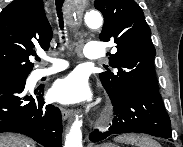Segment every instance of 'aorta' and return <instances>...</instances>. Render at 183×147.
<instances>
[{"label": "aorta", "instance_id": "obj_1", "mask_svg": "<svg viewBox=\"0 0 183 147\" xmlns=\"http://www.w3.org/2000/svg\"><path fill=\"white\" fill-rule=\"evenodd\" d=\"M84 23L91 29H97L102 26L103 18L99 12H87L84 15ZM82 120L76 115L75 121L73 122L69 133L65 138L64 147H82Z\"/></svg>", "mask_w": 183, "mask_h": 147}]
</instances>
